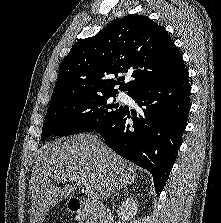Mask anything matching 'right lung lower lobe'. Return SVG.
Instances as JSON below:
<instances>
[{"instance_id":"98d812e1","label":"right lung lower lobe","mask_w":221,"mask_h":223,"mask_svg":"<svg viewBox=\"0 0 221 223\" xmlns=\"http://www.w3.org/2000/svg\"><path fill=\"white\" fill-rule=\"evenodd\" d=\"M190 89L187 69L171 80L141 87L129 94L143 107L141 115L133 114L125 106L110 122L93 130L119 155L147 169L158 195L187 125Z\"/></svg>"}]
</instances>
